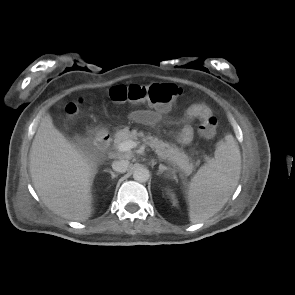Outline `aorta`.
Masks as SVG:
<instances>
[{
    "label": "aorta",
    "instance_id": "aorta-1",
    "mask_svg": "<svg viewBox=\"0 0 295 295\" xmlns=\"http://www.w3.org/2000/svg\"><path fill=\"white\" fill-rule=\"evenodd\" d=\"M149 170L145 167H138L133 172V178L135 181L144 183L149 179Z\"/></svg>",
    "mask_w": 295,
    "mask_h": 295
}]
</instances>
